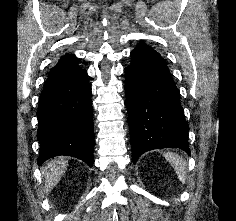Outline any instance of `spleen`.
<instances>
[{
	"label": "spleen",
	"mask_w": 236,
	"mask_h": 221,
	"mask_svg": "<svg viewBox=\"0 0 236 221\" xmlns=\"http://www.w3.org/2000/svg\"><path fill=\"white\" fill-rule=\"evenodd\" d=\"M164 157L174 168L179 180L185 183L187 179L186 162L178 154L173 152H165Z\"/></svg>",
	"instance_id": "spleen-1"
}]
</instances>
